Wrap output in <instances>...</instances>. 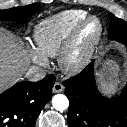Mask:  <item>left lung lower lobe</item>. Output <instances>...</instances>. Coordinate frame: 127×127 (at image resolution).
Wrapping results in <instances>:
<instances>
[{"label": "left lung lower lobe", "mask_w": 127, "mask_h": 127, "mask_svg": "<svg viewBox=\"0 0 127 127\" xmlns=\"http://www.w3.org/2000/svg\"><path fill=\"white\" fill-rule=\"evenodd\" d=\"M116 41L127 47V37ZM64 86L70 103L69 127H127V85L119 97H104L95 83L94 61Z\"/></svg>", "instance_id": "0a47b994"}]
</instances>
